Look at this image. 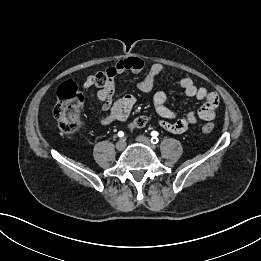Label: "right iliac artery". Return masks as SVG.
Returning a JSON list of instances; mask_svg holds the SVG:
<instances>
[{
	"instance_id": "right-iliac-artery-1",
	"label": "right iliac artery",
	"mask_w": 261,
	"mask_h": 261,
	"mask_svg": "<svg viewBox=\"0 0 261 261\" xmlns=\"http://www.w3.org/2000/svg\"><path fill=\"white\" fill-rule=\"evenodd\" d=\"M118 136H119V137H123V136H124V133H123L122 131H119V132H118Z\"/></svg>"
}]
</instances>
